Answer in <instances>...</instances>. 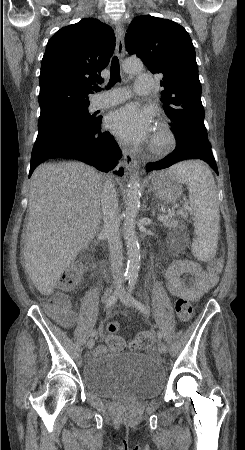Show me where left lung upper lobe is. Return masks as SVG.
Returning <instances> with one entry per match:
<instances>
[{"label": "left lung upper lobe", "instance_id": "5c2ea615", "mask_svg": "<svg viewBox=\"0 0 245 450\" xmlns=\"http://www.w3.org/2000/svg\"><path fill=\"white\" fill-rule=\"evenodd\" d=\"M125 44L128 53L141 58L153 74L163 75L161 101L174 123L171 130L177 146L210 145L195 50L188 32L171 20L143 15L131 22Z\"/></svg>", "mask_w": 245, "mask_h": 450}]
</instances>
